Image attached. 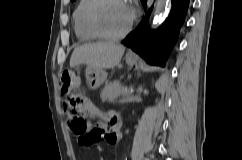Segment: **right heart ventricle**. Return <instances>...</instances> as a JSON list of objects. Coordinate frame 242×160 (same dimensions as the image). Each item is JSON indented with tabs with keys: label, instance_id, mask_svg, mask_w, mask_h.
Segmentation results:
<instances>
[{
	"label": "right heart ventricle",
	"instance_id": "1",
	"mask_svg": "<svg viewBox=\"0 0 242 160\" xmlns=\"http://www.w3.org/2000/svg\"><path fill=\"white\" fill-rule=\"evenodd\" d=\"M93 0H79L72 15L73 28L79 41L86 42L96 40L95 35L87 25L86 14Z\"/></svg>",
	"mask_w": 242,
	"mask_h": 160
}]
</instances>
